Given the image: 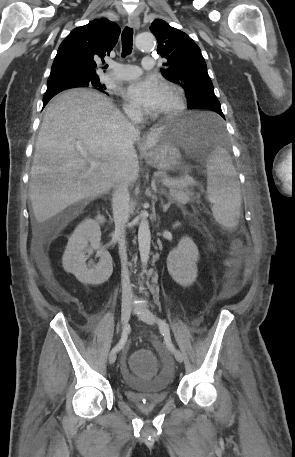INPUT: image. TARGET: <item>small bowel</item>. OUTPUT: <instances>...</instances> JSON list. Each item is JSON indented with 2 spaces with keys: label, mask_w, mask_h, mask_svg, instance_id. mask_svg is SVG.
<instances>
[{
  "label": "small bowel",
  "mask_w": 295,
  "mask_h": 457,
  "mask_svg": "<svg viewBox=\"0 0 295 457\" xmlns=\"http://www.w3.org/2000/svg\"><path fill=\"white\" fill-rule=\"evenodd\" d=\"M239 291V285L236 282H229L226 287V294L228 296L234 295Z\"/></svg>",
  "instance_id": "small-bowel-1"
}]
</instances>
